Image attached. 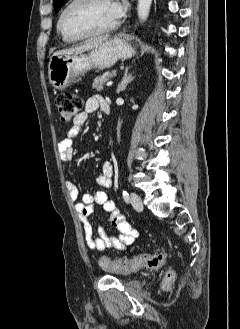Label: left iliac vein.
I'll return each instance as SVG.
<instances>
[{
  "mask_svg": "<svg viewBox=\"0 0 240 329\" xmlns=\"http://www.w3.org/2000/svg\"><path fill=\"white\" fill-rule=\"evenodd\" d=\"M130 202L135 210L142 211L143 210V203L140 196L134 192L130 194Z\"/></svg>",
  "mask_w": 240,
  "mask_h": 329,
  "instance_id": "obj_1",
  "label": "left iliac vein"
}]
</instances>
